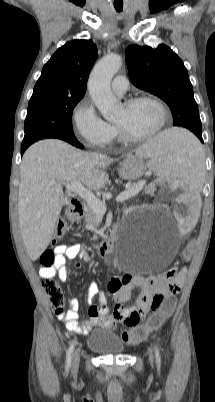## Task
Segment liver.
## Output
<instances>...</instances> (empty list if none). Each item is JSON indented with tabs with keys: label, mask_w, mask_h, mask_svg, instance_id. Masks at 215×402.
Wrapping results in <instances>:
<instances>
[{
	"label": "liver",
	"mask_w": 215,
	"mask_h": 402,
	"mask_svg": "<svg viewBox=\"0 0 215 402\" xmlns=\"http://www.w3.org/2000/svg\"><path fill=\"white\" fill-rule=\"evenodd\" d=\"M113 159L76 150L57 139L34 143L20 165L18 219L26 251L32 261L47 249L59 219L64 195L62 184L79 181L99 190L108 182L106 168Z\"/></svg>",
	"instance_id": "1"
}]
</instances>
